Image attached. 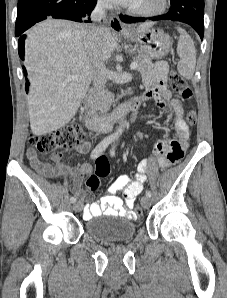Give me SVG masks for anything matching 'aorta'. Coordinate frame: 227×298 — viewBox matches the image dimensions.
I'll list each match as a JSON object with an SVG mask.
<instances>
[{
    "label": "aorta",
    "instance_id": "aorta-1",
    "mask_svg": "<svg viewBox=\"0 0 227 298\" xmlns=\"http://www.w3.org/2000/svg\"><path fill=\"white\" fill-rule=\"evenodd\" d=\"M127 125V122L126 121H123L120 126L117 128V130L112 134V137L115 138V139H118L122 133H123V130H124V127Z\"/></svg>",
    "mask_w": 227,
    "mask_h": 298
}]
</instances>
